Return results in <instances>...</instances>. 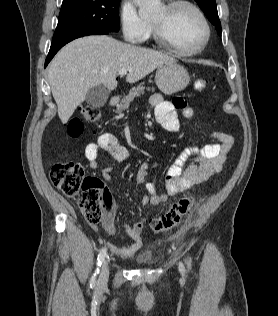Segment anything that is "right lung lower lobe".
Returning a JSON list of instances; mask_svg holds the SVG:
<instances>
[{
	"instance_id": "98d812e1",
	"label": "right lung lower lobe",
	"mask_w": 278,
	"mask_h": 316,
	"mask_svg": "<svg viewBox=\"0 0 278 316\" xmlns=\"http://www.w3.org/2000/svg\"><path fill=\"white\" fill-rule=\"evenodd\" d=\"M109 32H89V33H85V34H81V35H78V36H75L73 38H70L68 40H65L59 44H56V45H51L50 47V51H49V54L46 58V61H45V67L48 65V63L51 61V59L53 58V56L58 52V50L63 47L65 44H67L68 42L76 39V38H79V37H82V36H87V35H105V34H108Z\"/></svg>"
}]
</instances>
